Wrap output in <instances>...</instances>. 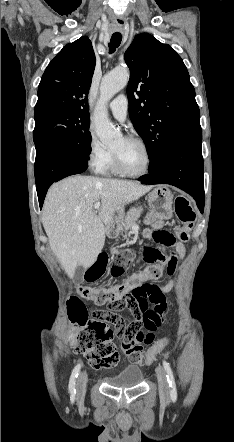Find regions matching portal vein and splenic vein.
I'll use <instances>...</instances> for the list:
<instances>
[{"label":"portal vein and splenic vein","mask_w":234,"mask_h":442,"mask_svg":"<svg viewBox=\"0 0 234 442\" xmlns=\"http://www.w3.org/2000/svg\"><path fill=\"white\" fill-rule=\"evenodd\" d=\"M100 202H96L95 204H94V209H99L100 208Z\"/></svg>","instance_id":"obj_1"}]
</instances>
